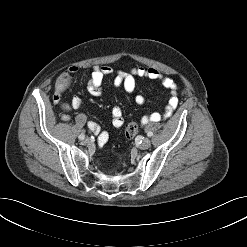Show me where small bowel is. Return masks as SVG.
I'll return each mask as SVG.
<instances>
[{"label": "small bowel", "instance_id": "obj_1", "mask_svg": "<svg viewBox=\"0 0 247 247\" xmlns=\"http://www.w3.org/2000/svg\"><path fill=\"white\" fill-rule=\"evenodd\" d=\"M78 67L71 66L69 68V72L71 74H76L78 72ZM115 73L114 85L116 87H122L127 93L134 94V102L137 105H143L145 102V97L140 93H135L136 89V79H149V80H158L161 84L168 90H170L171 96L166 105L165 111L163 113L154 112L149 115L143 116L141 119V123L143 125L149 122H157L162 118H168L172 115L173 111L176 109L178 105V97L176 94L177 86L174 80L157 69L152 67H141L137 66L131 69L130 71H114V69L110 66H96L88 80L87 83V92L92 96H99L102 91V83L103 80ZM61 92V90H59ZM55 103L60 107L63 111L61 114V119L63 121H68L70 119L68 112L71 109H79L84 105V100L80 96H74L70 103L62 101L59 97L56 98ZM112 115V123L114 127L121 128L124 124V116L123 111L120 106H115L111 112ZM90 131H92L95 135L98 136V141L100 145H104L109 138L108 132L103 131L101 127L95 122H89L87 124Z\"/></svg>", "mask_w": 247, "mask_h": 247}]
</instances>
